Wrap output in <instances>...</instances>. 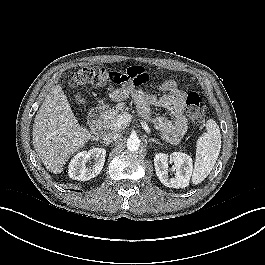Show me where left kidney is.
<instances>
[{"instance_id": "obj_1", "label": "left kidney", "mask_w": 265, "mask_h": 265, "mask_svg": "<svg viewBox=\"0 0 265 265\" xmlns=\"http://www.w3.org/2000/svg\"><path fill=\"white\" fill-rule=\"evenodd\" d=\"M174 163L175 177L168 175V163ZM156 174L160 182L171 188H185L188 186L193 171L192 158L182 152H173L170 155L158 153L154 157Z\"/></svg>"}]
</instances>
